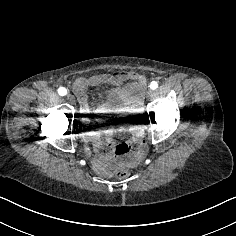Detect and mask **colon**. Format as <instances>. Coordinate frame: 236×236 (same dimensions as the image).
Masks as SVG:
<instances>
[{
    "instance_id": "5ec220e1",
    "label": "colon",
    "mask_w": 236,
    "mask_h": 236,
    "mask_svg": "<svg viewBox=\"0 0 236 236\" xmlns=\"http://www.w3.org/2000/svg\"><path fill=\"white\" fill-rule=\"evenodd\" d=\"M115 176L119 180H125L130 176V172L126 169H119L116 171Z\"/></svg>"
}]
</instances>
